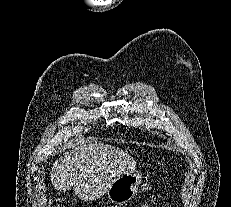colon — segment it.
<instances>
[{"label": "colon", "mask_w": 231, "mask_h": 207, "mask_svg": "<svg viewBox=\"0 0 231 207\" xmlns=\"http://www.w3.org/2000/svg\"><path fill=\"white\" fill-rule=\"evenodd\" d=\"M156 205H157V201L154 202V203H152V204H150V205H141L139 207H153V206L156 207ZM50 207H65V206H64V204H63L62 201H60V200H53L50 203Z\"/></svg>", "instance_id": "1"}]
</instances>
